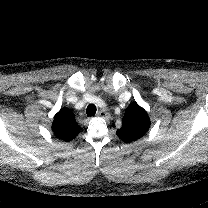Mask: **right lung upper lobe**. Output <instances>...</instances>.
<instances>
[{
    "mask_svg": "<svg viewBox=\"0 0 208 208\" xmlns=\"http://www.w3.org/2000/svg\"><path fill=\"white\" fill-rule=\"evenodd\" d=\"M80 129L73 112L68 108H61L55 114L52 131L57 138L66 142L71 141L79 134Z\"/></svg>",
    "mask_w": 208,
    "mask_h": 208,
    "instance_id": "obj_1",
    "label": "right lung upper lobe"
}]
</instances>
